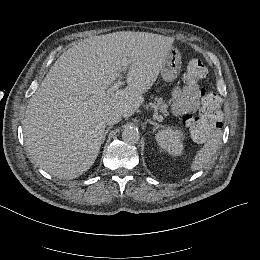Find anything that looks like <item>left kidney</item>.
Listing matches in <instances>:
<instances>
[{
	"label": "left kidney",
	"mask_w": 260,
	"mask_h": 260,
	"mask_svg": "<svg viewBox=\"0 0 260 260\" xmlns=\"http://www.w3.org/2000/svg\"><path fill=\"white\" fill-rule=\"evenodd\" d=\"M158 145L172 156H179L183 151L184 134L182 130L166 127L155 134Z\"/></svg>",
	"instance_id": "5707ae66"
}]
</instances>
